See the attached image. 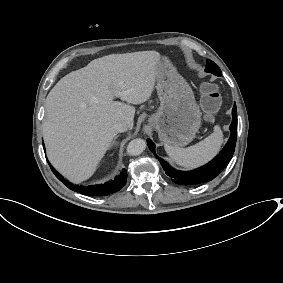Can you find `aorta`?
Here are the masks:
<instances>
[{"mask_svg":"<svg viewBox=\"0 0 283 283\" xmlns=\"http://www.w3.org/2000/svg\"><path fill=\"white\" fill-rule=\"evenodd\" d=\"M146 148V141L140 138L133 139L127 145V154L131 156L140 155Z\"/></svg>","mask_w":283,"mask_h":283,"instance_id":"aorta-1","label":"aorta"}]
</instances>
